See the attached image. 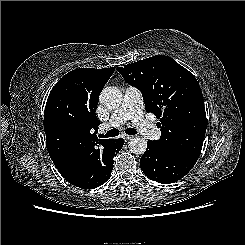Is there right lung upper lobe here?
<instances>
[{
	"mask_svg": "<svg viewBox=\"0 0 245 245\" xmlns=\"http://www.w3.org/2000/svg\"><path fill=\"white\" fill-rule=\"evenodd\" d=\"M115 67L79 68L51 90L44 112L46 146L51 159L73 162L103 139L96 133L99 95Z\"/></svg>",
	"mask_w": 245,
	"mask_h": 245,
	"instance_id": "cb5924a9",
	"label": "right lung upper lobe"
}]
</instances>
